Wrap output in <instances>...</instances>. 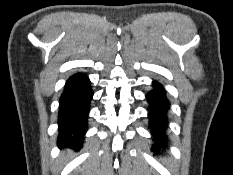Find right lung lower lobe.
<instances>
[{"mask_svg": "<svg viewBox=\"0 0 233 175\" xmlns=\"http://www.w3.org/2000/svg\"><path fill=\"white\" fill-rule=\"evenodd\" d=\"M92 98L91 83L86 74L76 73L67 80L60 98L57 140L59 146H82Z\"/></svg>", "mask_w": 233, "mask_h": 175, "instance_id": "right-lung-lower-lobe-1", "label": "right lung lower lobe"}]
</instances>
